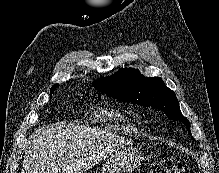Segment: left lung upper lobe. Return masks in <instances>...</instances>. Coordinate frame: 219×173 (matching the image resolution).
<instances>
[{
    "instance_id": "5c2ea615",
    "label": "left lung upper lobe",
    "mask_w": 219,
    "mask_h": 173,
    "mask_svg": "<svg viewBox=\"0 0 219 173\" xmlns=\"http://www.w3.org/2000/svg\"><path fill=\"white\" fill-rule=\"evenodd\" d=\"M93 86L109 97L157 108L167 117L182 121L191 134L190 123L180 111L176 94L159 77L145 78L137 69L121 68L110 77L94 81Z\"/></svg>"
}]
</instances>
